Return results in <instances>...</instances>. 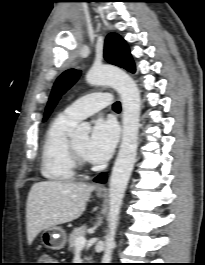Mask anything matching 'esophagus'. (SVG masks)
I'll return each mask as SVG.
<instances>
[{
    "instance_id": "obj_1",
    "label": "esophagus",
    "mask_w": 205,
    "mask_h": 265,
    "mask_svg": "<svg viewBox=\"0 0 205 265\" xmlns=\"http://www.w3.org/2000/svg\"><path fill=\"white\" fill-rule=\"evenodd\" d=\"M96 191H98V192H103V191H105V187H104L103 185H98V186L96 187Z\"/></svg>"
}]
</instances>
